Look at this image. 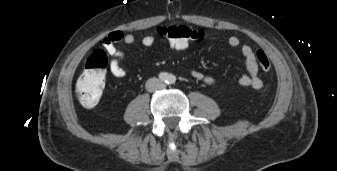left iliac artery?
<instances>
[{
  "mask_svg": "<svg viewBox=\"0 0 337 171\" xmlns=\"http://www.w3.org/2000/svg\"><path fill=\"white\" fill-rule=\"evenodd\" d=\"M176 81V77L174 75H170L168 79L169 84H174Z\"/></svg>",
  "mask_w": 337,
  "mask_h": 171,
  "instance_id": "obj_1",
  "label": "left iliac artery"
}]
</instances>
